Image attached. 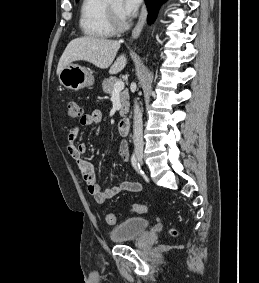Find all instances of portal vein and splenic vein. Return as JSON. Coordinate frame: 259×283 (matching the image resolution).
I'll return each mask as SVG.
<instances>
[{
	"instance_id": "obj_1",
	"label": "portal vein and splenic vein",
	"mask_w": 259,
	"mask_h": 283,
	"mask_svg": "<svg viewBox=\"0 0 259 283\" xmlns=\"http://www.w3.org/2000/svg\"><path fill=\"white\" fill-rule=\"evenodd\" d=\"M124 89V82L123 81H118L115 83L114 88H113V93H119Z\"/></svg>"
}]
</instances>
